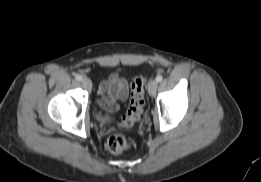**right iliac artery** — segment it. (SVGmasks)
<instances>
[{"label":"right iliac artery","instance_id":"1","mask_svg":"<svg viewBox=\"0 0 261 182\" xmlns=\"http://www.w3.org/2000/svg\"><path fill=\"white\" fill-rule=\"evenodd\" d=\"M75 78H76V80H78V81H81V80H82V76H81V75H76Z\"/></svg>","mask_w":261,"mask_h":182}]
</instances>
